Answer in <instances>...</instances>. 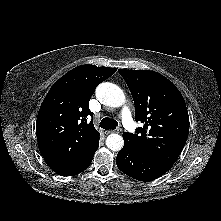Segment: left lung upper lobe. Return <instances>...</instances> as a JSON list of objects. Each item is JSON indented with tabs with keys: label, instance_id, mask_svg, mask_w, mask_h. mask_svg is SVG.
Masks as SVG:
<instances>
[{
	"label": "left lung upper lobe",
	"instance_id": "left-lung-upper-lobe-1",
	"mask_svg": "<svg viewBox=\"0 0 221 221\" xmlns=\"http://www.w3.org/2000/svg\"><path fill=\"white\" fill-rule=\"evenodd\" d=\"M135 104V120L144 124L136 134L123 133L124 141L138 152L171 167L189 133L185 101L175 85L150 70H118Z\"/></svg>",
	"mask_w": 221,
	"mask_h": 221
}]
</instances>
